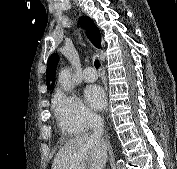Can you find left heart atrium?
Masks as SVG:
<instances>
[{"instance_id": "left-heart-atrium-1", "label": "left heart atrium", "mask_w": 177, "mask_h": 169, "mask_svg": "<svg viewBox=\"0 0 177 169\" xmlns=\"http://www.w3.org/2000/svg\"><path fill=\"white\" fill-rule=\"evenodd\" d=\"M85 99L88 105L95 109L100 110L105 106L106 95L104 90L98 85H90L84 91Z\"/></svg>"}]
</instances>
